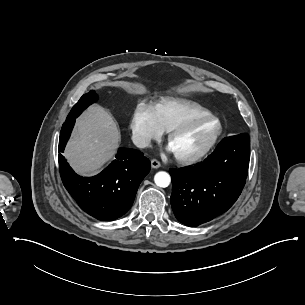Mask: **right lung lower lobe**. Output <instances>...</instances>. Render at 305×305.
<instances>
[{"label": "right lung lower lobe", "mask_w": 305, "mask_h": 305, "mask_svg": "<svg viewBox=\"0 0 305 305\" xmlns=\"http://www.w3.org/2000/svg\"><path fill=\"white\" fill-rule=\"evenodd\" d=\"M76 116H67L59 139V152H63L70 137ZM62 182L82 210L99 220H114L132 206L137 189L149 173L151 163L135 149L120 148L106 169L94 177L77 175L59 154Z\"/></svg>", "instance_id": "right-lung-lower-lobe-1"}]
</instances>
